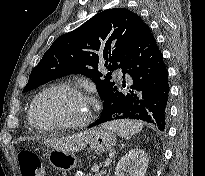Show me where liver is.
Masks as SVG:
<instances>
[{
  "instance_id": "6515ba94",
  "label": "liver",
  "mask_w": 205,
  "mask_h": 176,
  "mask_svg": "<svg viewBox=\"0 0 205 176\" xmlns=\"http://www.w3.org/2000/svg\"><path fill=\"white\" fill-rule=\"evenodd\" d=\"M91 130L83 131L65 138L46 141L47 145L62 151H79L90 141Z\"/></svg>"
}]
</instances>
